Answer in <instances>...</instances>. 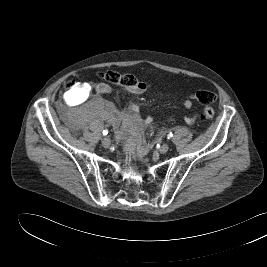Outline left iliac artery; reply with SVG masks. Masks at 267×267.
Segmentation results:
<instances>
[{"mask_svg": "<svg viewBox=\"0 0 267 267\" xmlns=\"http://www.w3.org/2000/svg\"><path fill=\"white\" fill-rule=\"evenodd\" d=\"M172 136H173V134H172V132H170V133L167 135V138L170 139Z\"/></svg>", "mask_w": 267, "mask_h": 267, "instance_id": "44dca946", "label": "left iliac artery"}]
</instances>
